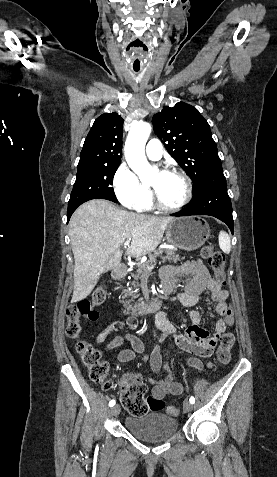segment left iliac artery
Returning <instances> with one entry per match:
<instances>
[{"mask_svg": "<svg viewBox=\"0 0 277 477\" xmlns=\"http://www.w3.org/2000/svg\"><path fill=\"white\" fill-rule=\"evenodd\" d=\"M189 401H190L191 404H194L195 403V398L193 396H191Z\"/></svg>", "mask_w": 277, "mask_h": 477, "instance_id": "44dca946", "label": "left iliac artery"}]
</instances>
